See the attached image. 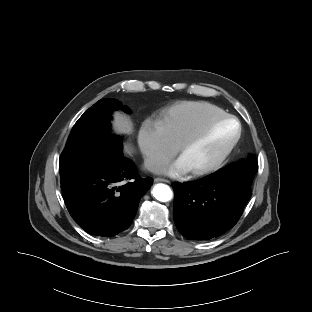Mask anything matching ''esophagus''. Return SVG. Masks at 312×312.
Segmentation results:
<instances>
[{"mask_svg":"<svg viewBox=\"0 0 312 312\" xmlns=\"http://www.w3.org/2000/svg\"><path fill=\"white\" fill-rule=\"evenodd\" d=\"M154 181H155V182H165V183H170V181H169V180L164 179V178H155V179H154Z\"/></svg>","mask_w":312,"mask_h":312,"instance_id":"obj_1","label":"esophagus"}]
</instances>
